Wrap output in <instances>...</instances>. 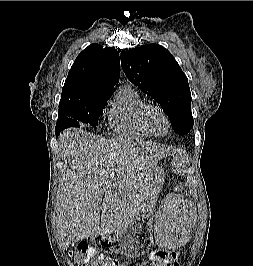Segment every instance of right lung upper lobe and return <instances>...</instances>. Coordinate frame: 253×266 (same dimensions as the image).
<instances>
[{"mask_svg": "<svg viewBox=\"0 0 253 266\" xmlns=\"http://www.w3.org/2000/svg\"><path fill=\"white\" fill-rule=\"evenodd\" d=\"M119 77L118 51L91 44L74 61L62 89L60 104L111 95Z\"/></svg>", "mask_w": 253, "mask_h": 266, "instance_id": "obj_1", "label": "right lung upper lobe"}]
</instances>
